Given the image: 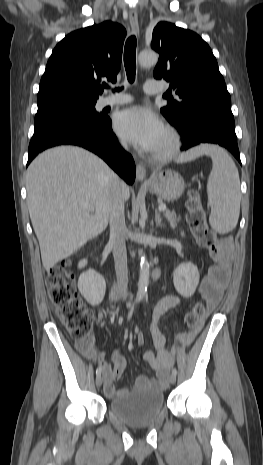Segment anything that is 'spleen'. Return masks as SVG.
<instances>
[{"label":"spleen","mask_w":263,"mask_h":465,"mask_svg":"<svg viewBox=\"0 0 263 465\" xmlns=\"http://www.w3.org/2000/svg\"><path fill=\"white\" fill-rule=\"evenodd\" d=\"M212 159V170L207 183L209 223L220 234L232 231L240 212V180L238 170L225 150L216 145H200L182 154L178 161L193 160L201 155Z\"/></svg>","instance_id":"1"}]
</instances>
